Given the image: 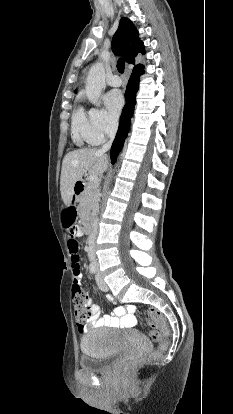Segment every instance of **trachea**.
<instances>
[{
  "label": "trachea",
  "mask_w": 233,
  "mask_h": 414,
  "mask_svg": "<svg viewBox=\"0 0 233 414\" xmlns=\"http://www.w3.org/2000/svg\"><path fill=\"white\" fill-rule=\"evenodd\" d=\"M117 69L120 73H124L125 63L122 59H119L117 62Z\"/></svg>",
  "instance_id": "1"
}]
</instances>
